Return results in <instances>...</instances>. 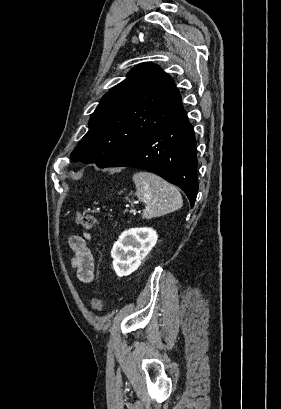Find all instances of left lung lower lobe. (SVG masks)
<instances>
[{
  "label": "left lung lower lobe",
  "mask_w": 281,
  "mask_h": 409,
  "mask_svg": "<svg viewBox=\"0 0 281 409\" xmlns=\"http://www.w3.org/2000/svg\"><path fill=\"white\" fill-rule=\"evenodd\" d=\"M105 167H134L158 174L179 186L193 207L198 192L196 140L184 108L102 168Z\"/></svg>",
  "instance_id": "1"
}]
</instances>
